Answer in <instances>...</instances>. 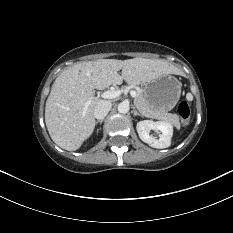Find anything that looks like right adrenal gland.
<instances>
[{
  "label": "right adrenal gland",
  "instance_id": "right-adrenal-gland-1",
  "mask_svg": "<svg viewBox=\"0 0 233 233\" xmlns=\"http://www.w3.org/2000/svg\"><path fill=\"white\" fill-rule=\"evenodd\" d=\"M102 122H103V120H98L95 122V124H98V123L102 124Z\"/></svg>",
  "mask_w": 233,
  "mask_h": 233
}]
</instances>
